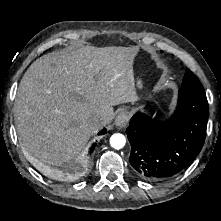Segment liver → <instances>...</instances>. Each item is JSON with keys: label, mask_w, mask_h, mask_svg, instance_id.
I'll use <instances>...</instances> for the list:
<instances>
[{"label": "liver", "mask_w": 221, "mask_h": 221, "mask_svg": "<svg viewBox=\"0 0 221 221\" xmlns=\"http://www.w3.org/2000/svg\"><path fill=\"white\" fill-rule=\"evenodd\" d=\"M133 47L83 46L36 60L24 74L14 105L15 122L26 156L55 164L78 155L98 130L94 115L114 118L113 106L138 100Z\"/></svg>", "instance_id": "liver-1"}]
</instances>
